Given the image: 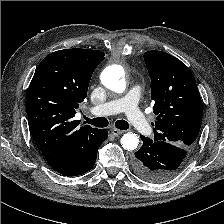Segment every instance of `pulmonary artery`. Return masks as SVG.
I'll use <instances>...</instances> for the list:
<instances>
[{
  "instance_id": "pulmonary-artery-1",
  "label": "pulmonary artery",
  "mask_w": 224,
  "mask_h": 224,
  "mask_svg": "<svg viewBox=\"0 0 224 224\" xmlns=\"http://www.w3.org/2000/svg\"><path fill=\"white\" fill-rule=\"evenodd\" d=\"M140 95V86L134 85L125 97L117 98L96 106L91 109V113L98 116H105L125 112L130 123L137 132L142 135H147L151 132V125L138 108Z\"/></svg>"
}]
</instances>
